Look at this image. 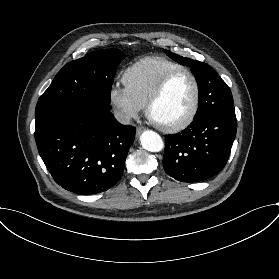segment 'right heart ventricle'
Masks as SVG:
<instances>
[{
  "label": "right heart ventricle",
  "mask_w": 279,
  "mask_h": 279,
  "mask_svg": "<svg viewBox=\"0 0 279 279\" xmlns=\"http://www.w3.org/2000/svg\"><path fill=\"white\" fill-rule=\"evenodd\" d=\"M181 69L185 67L175 61L163 57H147L126 71L124 81L147 102L153 90L167 74Z\"/></svg>",
  "instance_id": "right-heart-ventricle-1"
}]
</instances>
